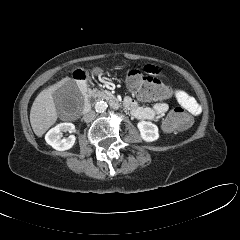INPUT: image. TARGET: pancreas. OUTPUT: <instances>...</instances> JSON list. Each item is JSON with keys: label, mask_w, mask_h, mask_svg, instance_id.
Instances as JSON below:
<instances>
[{"label": "pancreas", "mask_w": 240, "mask_h": 240, "mask_svg": "<svg viewBox=\"0 0 240 240\" xmlns=\"http://www.w3.org/2000/svg\"><path fill=\"white\" fill-rule=\"evenodd\" d=\"M88 96L96 98V97H105L106 95L98 89H92V90L90 89L88 90Z\"/></svg>", "instance_id": "cf45deb5"}]
</instances>
